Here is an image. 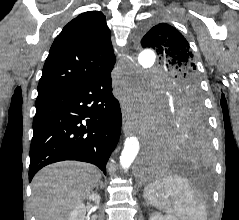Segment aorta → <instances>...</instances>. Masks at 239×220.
<instances>
[{
  "mask_svg": "<svg viewBox=\"0 0 239 220\" xmlns=\"http://www.w3.org/2000/svg\"><path fill=\"white\" fill-rule=\"evenodd\" d=\"M154 53L155 48H143V51L139 52V55L135 57V60H138V65L143 68H150L154 65ZM149 71H153V68H150ZM140 149L138 138L135 136L128 137L124 143V147L120 156V165L127 171L136 156L138 155Z\"/></svg>",
  "mask_w": 239,
  "mask_h": 220,
  "instance_id": "obj_1",
  "label": "aorta"
}]
</instances>
